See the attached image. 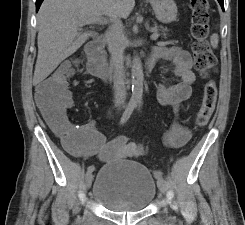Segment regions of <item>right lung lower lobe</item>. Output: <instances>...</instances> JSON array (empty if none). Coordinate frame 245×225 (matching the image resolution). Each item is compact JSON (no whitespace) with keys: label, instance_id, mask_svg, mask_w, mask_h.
I'll return each instance as SVG.
<instances>
[{"label":"right lung lower lobe","instance_id":"right-lung-lower-lobe-1","mask_svg":"<svg viewBox=\"0 0 245 225\" xmlns=\"http://www.w3.org/2000/svg\"><path fill=\"white\" fill-rule=\"evenodd\" d=\"M43 2V0H36V10L38 11L41 3Z\"/></svg>","mask_w":245,"mask_h":225}]
</instances>
